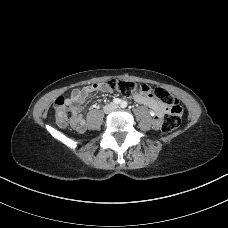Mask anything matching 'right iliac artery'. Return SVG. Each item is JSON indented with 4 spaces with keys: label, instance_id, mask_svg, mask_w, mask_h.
Listing matches in <instances>:
<instances>
[{
    "label": "right iliac artery",
    "instance_id": "right-iliac-artery-1",
    "mask_svg": "<svg viewBox=\"0 0 228 228\" xmlns=\"http://www.w3.org/2000/svg\"><path fill=\"white\" fill-rule=\"evenodd\" d=\"M121 102H122V101H121L119 98H114V99H113V103H114V104H121Z\"/></svg>",
    "mask_w": 228,
    "mask_h": 228
}]
</instances>
